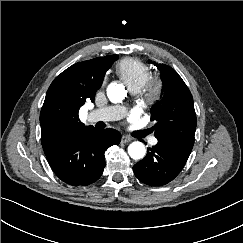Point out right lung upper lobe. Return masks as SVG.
I'll return each instance as SVG.
<instances>
[{"label":"right lung upper lobe","instance_id":"cb5924a9","mask_svg":"<svg viewBox=\"0 0 243 243\" xmlns=\"http://www.w3.org/2000/svg\"><path fill=\"white\" fill-rule=\"evenodd\" d=\"M116 59L117 55H111L76 63L53 80L40 113L42 143L91 128L80 121L79 109L86 99L94 100Z\"/></svg>","mask_w":243,"mask_h":243}]
</instances>
